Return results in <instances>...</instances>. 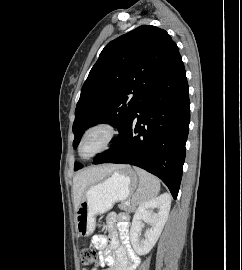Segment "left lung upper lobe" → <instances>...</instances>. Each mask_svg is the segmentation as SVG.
Segmentation results:
<instances>
[{
  "mask_svg": "<svg viewBox=\"0 0 242 270\" xmlns=\"http://www.w3.org/2000/svg\"><path fill=\"white\" fill-rule=\"evenodd\" d=\"M179 56L170 35L151 25H142L109 42L82 87L73 123V146L97 123L112 124L121 132L149 87ZM80 168L82 165L75 163L74 170Z\"/></svg>",
  "mask_w": 242,
  "mask_h": 270,
  "instance_id": "left-lung-upper-lobe-1",
  "label": "left lung upper lobe"
}]
</instances>
